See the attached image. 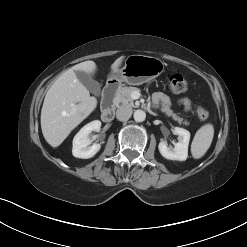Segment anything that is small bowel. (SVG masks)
I'll list each match as a JSON object with an SVG mask.
<instances>
[{
	"instance_id": "obj_1",
	"label": "small bowel",
	"mask_w": 247,
	"mask_h": 247,
	"mask_svg": "<svg viewBox=\"0 0 247 247\" xmlns=\"http://www.w3.org/2000/svg\"><path fill=\"white\" fill-rule=\"evenodd\" d=\"M153 100L154 102L161 103L165 107L170 104L169 98L163 93H156L153 96ZM180 102L186 110H189L191 108V101L188 98H182Z\"/></svg>"
}]
</instances>
